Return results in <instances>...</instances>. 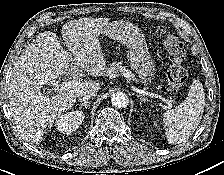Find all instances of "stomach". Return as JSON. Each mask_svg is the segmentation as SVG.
<instances>
[{
  "mask_svg": "<svg viewBox=\"0 0 224 175\" xmlns=\"http://www.w3.org/2000/svg\"><path fill=\"white\" fill-rule=\"evenodd\" d=\"M103 34L127 46L131 68L139 75L142 83L151 82L154 75V61L139 28L129 22L114 21L104 27Z\"/></svg>",
  "mask_w": 224,
  "mask_h": 175,
  "instance_id": "obj_1",
  "label": "stomach"
}]
</instances>
